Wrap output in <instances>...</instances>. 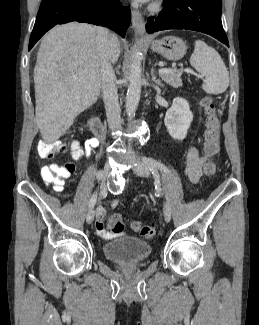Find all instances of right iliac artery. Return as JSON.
I'll return each instance as SVG.
<instances>
[{
	"label": "right iliac artery",
	"mask_w": 259,
	"mask_h": 325,
	"mask_svg": "<svg viewBox=\"0 0 259 325\" xmlns=\"http://www.w3.org/2000/svg\"><path fill=\"white\" fill-rule=\"evenodd\" d=\"M101 175H102V170H99L98 172H97V175H95V182L93 183V186L95 187V193L91 196V198H90V201H89V207H93L94 205H95V203H96V199H97V194H96V187H98L99 186V183H100V178H101ZM103 193H105V192H101V194H103Z\"/></svg>",
	"instance_id": "right-iliac-artery-1"
}]
</instances>
